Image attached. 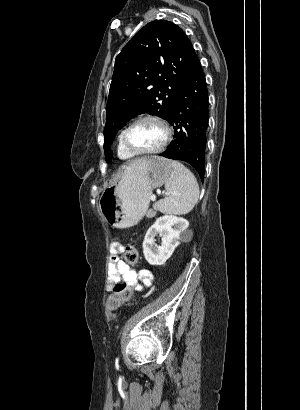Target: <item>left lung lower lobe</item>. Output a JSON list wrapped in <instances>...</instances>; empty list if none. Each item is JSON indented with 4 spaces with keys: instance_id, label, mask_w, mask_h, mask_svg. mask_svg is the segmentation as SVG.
I'll list each match as a JSON object with an SVG mask.
<instances>
[{
    "instance_id": "left-lung-lower-lobe-1",
    "label": "left lung lower lobe",
    "mask_w": 300,
    "mask_h": 410,
    "mask_svg": "<svg viewBox=\"0 0 300 410\" xmlns=\"http://www.w3.org/2000/svg\"><path fill=\"white\" fill-rule=\"evenodd\" d=\"M167 121L174 127V140L159 155L188 162L203 180L209 102L205 75L198 56L178 90Z\"/></svg>"
}]
</instances>
